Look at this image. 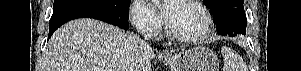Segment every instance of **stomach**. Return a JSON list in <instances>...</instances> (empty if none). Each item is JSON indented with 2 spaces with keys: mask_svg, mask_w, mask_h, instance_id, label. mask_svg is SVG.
<instances>
[{
  "mask_svg": "<svg viewBox=\"0 0 301 71\" xmlns=\"http://www.w3.org/2000/svg\"><path fill=\"white\" fill-rule=\"evenodd\" d=\"M171 71H219L216 54L206 47H196L165 60Z\"/></svg>",
  "mask_w": 301,
  "mask_h": 71,
  "instance_id": "0dacf381",
  "label": "stomach"
}]
</instances>
